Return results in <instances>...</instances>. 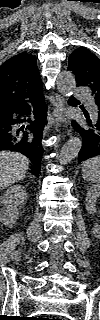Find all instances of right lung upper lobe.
<instances>
[{
	"label": "right lung upper lobe",
	"instance_id": "cb5924a9",
	"mask_svg": "<svg viewBox=\"0 0 100 320\" xmlns=\"http://www.w3.org/2000/svg\"><path fill=\"white\" fill-rule=\"evenodd\" d=\"M42 92L36 58L22 52L0 68V117Z\"/></svg>",
	"mask_w": 100,
	"mask_h": 320
}]
</instances>
